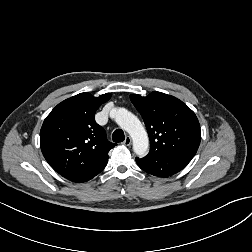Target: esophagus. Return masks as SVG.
Wrapping results in <instances>:
<instances>
[{"mask_svg":"<svg viewBox=\"0 0 252 252\" xmlns=\"http://www.w3.org/2000/svg\"><path fill=\"white\" fill-rule=\"evenodd\" d=\"M131 142H132V139L130 136H127L123 142V145L125 146H130L131 145Z\"/></svg>","mask_w":252,"mask_h":252,"instance_id":"1","label":"esophagus"}]
</instances>
